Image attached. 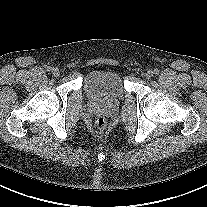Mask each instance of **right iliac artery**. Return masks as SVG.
<instances>
[{
  "label": "right iliac artery",
  "instance_id": "82829eb1",
  "mask_svg": "<svg viewBox=\"0 0 207 207\" xmlns=\"http://www.w3.org/2000/svg\"><path fill=\"white\" fill-rule=\"evenodd\" d=\"M52 69H53V68H52L51 66H48V67H47V71H49V72L52 71Z\"/></svg>",
  "mask_w": 207,
  "mask_h": 207
}]
</instances>
